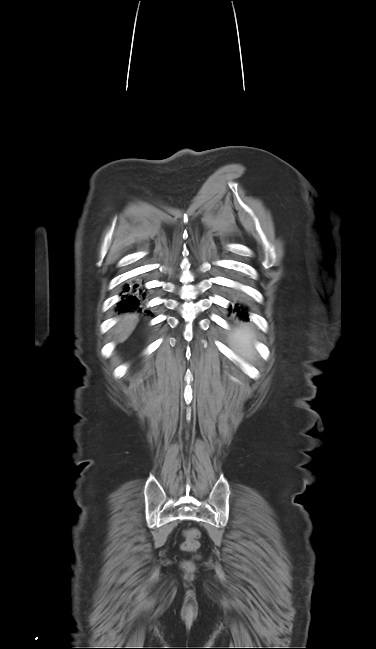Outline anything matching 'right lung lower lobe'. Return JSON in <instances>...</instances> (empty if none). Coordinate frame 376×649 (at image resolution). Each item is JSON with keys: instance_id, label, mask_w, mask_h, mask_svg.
Here are the masks:
<instances>
[{"instance_id": "obj_1", "label": "right lung lower lobe", "mask_w": 376, "mask_h": 649, "mask_svg": "<svg viewBox=\"0 0 376 649\" xmlns=\"http://www.w3.org/2000/svg\"><path fill=\"white\" fill-rule=\"evenodd\" d=\"M138 287H139L138 284L135 285L126 284L124 286L122 293L125 294L122 295V300L118 303V310L131 311L133 309H136L139 306L140 301L137 298V296L134 294V292L137 291L136 288ZM142 296L144 297V294H142Z\"/></svg>"}]
</instances>
